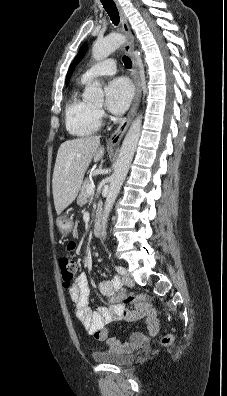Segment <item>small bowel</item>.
<instances>
[{"label":"small bowel","mask_w":227,"mask_h":396,"mask_svg":"<svg viewBox=\"0 0 227 396\" xmlns=\"http://www.w3.org/2000/svg\"><path fill=\"white\" fill-rule=\"evenodd\" d=\"M73 243L70 244V248ZM120 285L115 280H102L98 284L99 293L110 303L109 306H100L91 310L88 306L89 287L87 276L84 272L79 273L74 284L69 290L71 301L75 305L77 319L84 325L87 331L96 339L103 341L110 349L134 346L147 341L150 337L158 334L160 323L156 312L146 301H138L132 308L127 307L123 300L126 294H118ZM127 320H144L148 334L135 332L130 336L128 343H123L114 337H108L106 325L112 322Z\"/></svg>","instance_id":"obj_1"}]
</instances>
